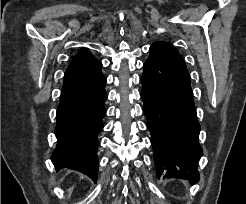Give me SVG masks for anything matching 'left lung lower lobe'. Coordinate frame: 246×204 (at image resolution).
<instances>
[{
	"label": "left lung lower lobe",
	"mask_w": 246,
	"mask_h": 204,
	"mask_svg": "<svg viewBox=\"0 0 246 204\" xmlns=\"http://www.w3.org/2000/svg\"><path fill=\"white\" fill-rule=\"evenodd\" d=\"M141 82L157 176L198 182L200 125L184 60L176 50L154 43Z\"/></svg>",
	"instance_id": "1"
}]
</instances>
